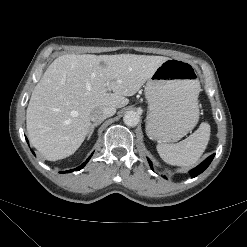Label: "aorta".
Masks as SVG:
<instances>
[{"label":"aorta","instance_id":"aorta-1","mask_svg":"<svg viewBox=\"0 0 247 247\" xmlns=\"http://www.w3.org/2000/svg\"><path fill=\"white\" fill-rule=\"evenodd\" d=\"M124 123L129 127H135L140 121V116L135 111H128L123 117Z\"/></svg>","mask_w":247,"mask_h":247}]
</instances>
